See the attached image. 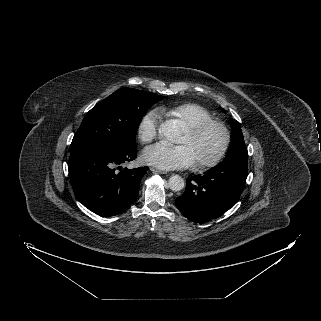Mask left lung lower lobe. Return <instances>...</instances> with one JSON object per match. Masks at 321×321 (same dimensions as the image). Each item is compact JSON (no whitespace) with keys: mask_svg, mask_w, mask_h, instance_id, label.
<instances>
[{"mask_svg":"<svg viewBox=\"0 0 321 321\" xmlns=\"http://www.w3.org/2000/svg\"><path fill=\"white\" fill-rule=\"evenodd\" d=\"M248 160H224L203 175L189 177L176 207L189 220L203 223L216 219L239 199L248 175Z\"/></svg>","mask_w":321,"mask_h":321,"instance_id":"left-lung-lower-lobe-1","label":"left lung lower lobe"}]
</instances>
